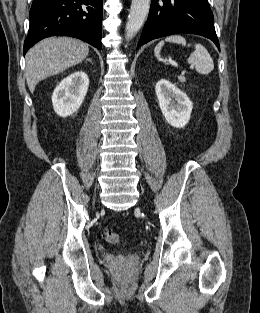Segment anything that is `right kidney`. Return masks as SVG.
<instances>
[{
    "mask_svg": "<svg viewBox=\"0 0 260 313\" xmlns=\"http://www.w3.org/2000/svg\"><path fill=\"white\" fill-rule=\"evenodd\" d=\"M89 86L87 74L78 70L64 78L52 95L54 111L61 117L75 113L82 105Z\"/></svg>",
    "mask_w": 260,
    "mask_h": 313,
    "instance_id": "obj_1",
    "label": "right kidney"
}]
</instances>
